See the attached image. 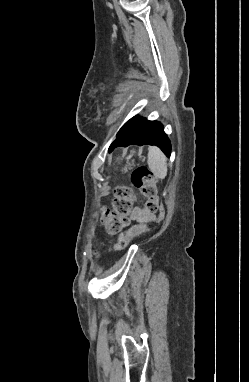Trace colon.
I'll return each instance as SVG.
<instances>
[{
  "label": "colon",
  "instance_id": "1",
  "mask_svg": "<svg viewBox=\"0 0 249 382\" xmlns=\"http://www.w3.org/2000/svg\"><path fill=\"white\" fill-rule=\"evenodd\" d=\"M131 181L147 200L145 211L151 215H159L162 208L151 171L145 166L138 167L132 172ZM113 194L112 208L104 210L103 221L110 232L118 233L111 249L117 252L125 249L131 239V234L128 232L131 224L128 215L134 205V196L131 188L125 185L116 187Z\"/></svg>",
  "mask_w": 249,
  "mask_h": 382
}]
</instances>
